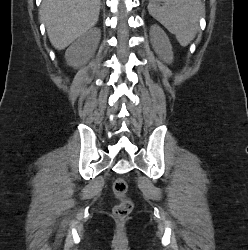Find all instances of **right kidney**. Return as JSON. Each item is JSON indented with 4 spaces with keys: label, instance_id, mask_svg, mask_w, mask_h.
Segmentation results:
<instances>
[{
    "label": "right kidney",
    "instance_id": "right-kidney-1",
    "mask_svg": "<svg viewBox=\"0 0 248 250\" xmlns=\"http://www.w3.org/2000/svg\"><path fill=\"white\" fill-rule=\"evenodd\" d=\"M100 29H94L81 35L65 52L67 64L79 68L94 55L100 40Z\"/></svg>",
    "mask_w": 248,
    "mask_h": 250
}]
</instances>
